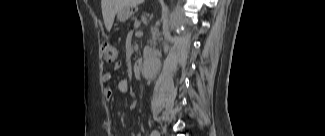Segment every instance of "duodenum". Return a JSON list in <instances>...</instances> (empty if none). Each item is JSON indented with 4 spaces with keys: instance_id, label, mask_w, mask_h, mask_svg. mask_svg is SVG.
<instances>
[{
    "instance_id": "410a0bca",
    "label": "duodenum",
    "mask_w": 325,
    "mask_h": 136,
    "mask_svg": "<svg viewBox=\"0 0 325 136\" xmlns=\"http://www.w3.org/2000/svg\"><path fill=\"white\" fill-rule=\"evenodd\" d=\"M142 71H143V62L142 60H137L133 66V74L136 77H139L141 76Z\"/></svg>"
}]
</instances>
